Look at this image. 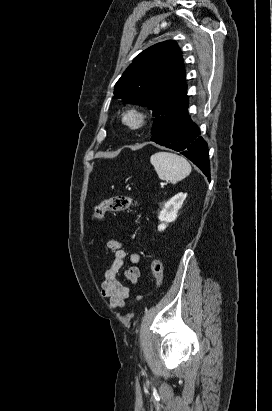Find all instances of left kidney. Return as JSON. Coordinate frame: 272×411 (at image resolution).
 <instances>
[{
  "label": "left kidney",
  "instance_id": "5707ae66",
  "mask_svg": "<svg viewBox=\"0 0 272 411\" xmlns=\"http://www.w3.org/2000/svg\"><path fill=\"white\" fill-rule=\"evenodd\" d=\"M186 196V193H178L164 204V207L160 211L158 216L159 220L161 221V224L158 226L159 231H164L167 227V223L176 220L178 210L182 207Z\"/></svg>",
  "mask_w": 272,
  "mask_h": 411
}]
</instances>
